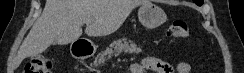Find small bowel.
<instances>
[{
    "label": "small bowel",
    "instance_id": "c3829d8e",
    "mask_svg": "<svg viewBox=\"0 0 244 73\" xmlns=\"http://www.w3.org/2000/svg\"><path fill=\"white\" fill-rule=\"evenodd\" d=\"M190 70L186 62L173 66L158 58H146L130 65L131 73H190Z\"/></svg>",
    "mask_w": 244,
    "mask_h": 73
}]
</instances>
